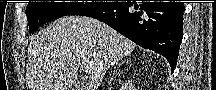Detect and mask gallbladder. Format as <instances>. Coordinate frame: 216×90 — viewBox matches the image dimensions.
I'll use <instances>...</instances> for the list:
<instances>
[{
  "instance_id": "gallbladder-1",
  "label": "gallbladder",
  "mask_w": 216,
  "mask_h": 90,
  "mask_svg": "<svg viewBox=\"0 0 216 90\" xmlns=\"http://www.w3.org/2000/svg\"><path fill=\"white\" fill-rule=\"evenodd\" d=\"M77 90H83V86H79V88H77Z\"/></svg>"
}]
</instances>
